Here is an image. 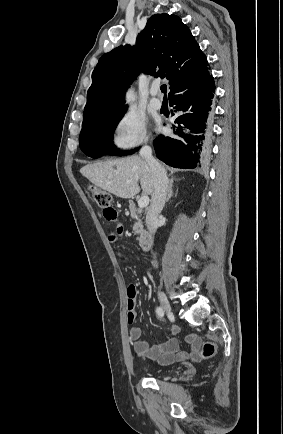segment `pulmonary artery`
<instances>
[{
    "instance_id": "e3ab8cb5",
    "label": "pulmonary artery",
    "mask_w": 283,
    "mask_h": 434,
    "mask_svg": "<svg viewBox=\"0 0 283 434\" xmlns=\"http://www.w3.org/2000/svg\"><path fill=\"white\" fill-rule=\"evenodd\" d=\"M150 94H151L150 105L152 106V108H154L156 110L161 109L162 101L159 98L160 87L157 83L153 84V86L150 90Z\"/></svg>"
}]
</instances>
